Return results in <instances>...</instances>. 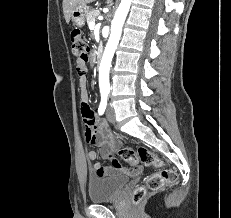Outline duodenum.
I'll return each mask as SVG.
<instances>
[{"label":"duodenum","instance_id":"1","mask_svg":"<svg viewBox=\"0 0 231 218\" xmlns=\"http://www.w3.org/2000/svg\"><path fill=\"white\" fill-rule=\"evenodd\" d=\"M101 58H102V51L99 49V50H97L95 57H94V62L96 65L100 64Z\"/></svg>","mask_w":231,"mask_h":218}]
</instances>
